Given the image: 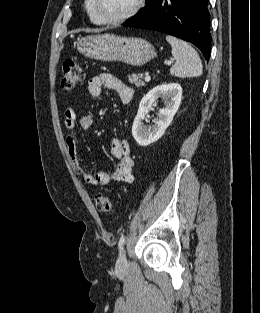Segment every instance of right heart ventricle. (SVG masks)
Returning <instances> with one entry per match:
<instances>
[{
	"label": "right heart ventricle",
	"instance_id": "right-heart-ventricle-1",
	"mask_svg": "<svg viewBox=\"0 0 260 313\" xmlns=\"http://www.w3.org/2000/svg\"><path fill=\"white\" fill-rule=\"evenodd\" d=\"M84 8L86 10V13L90 19V21L96 25L102 24V22L99 20L97 15L95 14L92 6V0H84Z\"/></svg>",
	"mask_w": 260,
	"mask_h": 313
}]
</instances>
